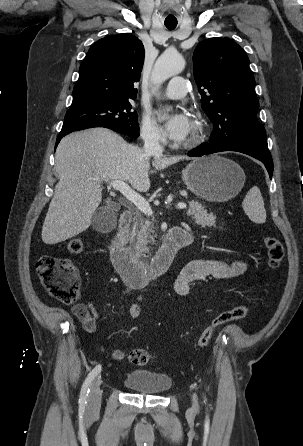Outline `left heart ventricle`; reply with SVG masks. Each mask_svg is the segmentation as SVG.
I'll list each match as a JSON object with an SVG mask.
<instances>
[{
  "mask_svg": "<svg viewBox=\"0 0 303 446\" xmlns=\"http://www.w3.org/2000/svg\"><path fill=\"white\" fill-rule=\"evenodd\" d=\"M194 129H195V122H194V119H191V124H190L189 132H188L186 138H185L183 141H187L188 139L191 138V136H192L193 133H194Z\"/></svg>",
  "mask_w": 303,
  "mask_h": 446,
  "instance_id": "1",
  "label": "left heart ventricle"
}]
</instances>
